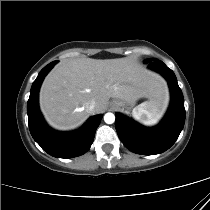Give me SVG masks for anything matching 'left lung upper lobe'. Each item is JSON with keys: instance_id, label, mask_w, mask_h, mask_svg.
<instances>
[{"instance_id": "obj_1", "label": "left lung upper lobe", "mask_w": 210, "mask_h": 210, "mask_svg": "<svg viewBox=\"0 0 210 210\" xmlns=\"http://www.w3.org/2000/svg\"><path fill=\"white\" fill-rule=\"evenodd\" d=\"M149 61H152V59H148V60H146V62H149Z\"/></svg>"}]
</instances>
